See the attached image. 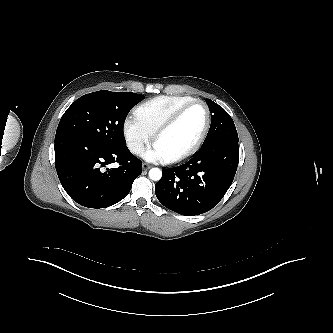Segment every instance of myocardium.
<instances>
[{
	"instance_id": "f54148a6",
	"label": "myocardium",
	"mask_w": 333,
	"mask_h": 333,
	"mask_svg": "<svg viewBox=\"0 0 333 333\" xmlns=\"http://www.w3.org/2000/svg\"><path fill=\"white\" fill-rule=\"evenodd\" d=\"M196 104H201L203 105V107L205 108L206 111V121H205V125L203 127V130L200 134V136L198 137V139L196 140V142L186 151L165 158L166 162L168 163H177V162H181L184 161L188 158H190L191 156H193L202 146L203 142L205 141L207 134L209 132L210 126H211V111L209 106L207 105V103L201 99H194L184 105H182L181 107H179L175 112H173L155 131L154 133V145L156 144V142L158 141V139L165 133L167 132L179 119L180 117L192 106L196 105Z\"/></svg>"
}]
</instances>
